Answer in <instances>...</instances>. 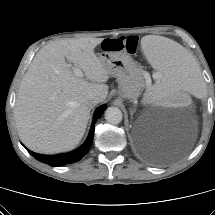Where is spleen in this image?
I'll return each instance as SVG.
<instances>
[{
  "label": "spleen",
  "instance_id": "spleen-1",
  "mask_svg": "<svg viewBox=\"0 0 215 215\" xmlns=\"http://www.w3.org/2000/svg\"><path fill=\"white\" fill-rule=\"evenodd\" d=\"M141 46L159 79L146 90L143 100L151 94L202 97L205 83L198 73L200 61L194 53L160 37L146 36L142 39Z\"/></svg>",
  "mask_w": 215,
  "mask_h": 215
}]
</instances>
